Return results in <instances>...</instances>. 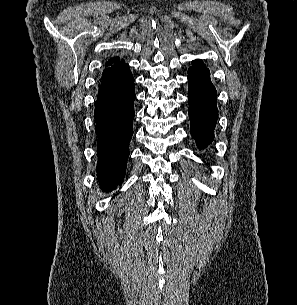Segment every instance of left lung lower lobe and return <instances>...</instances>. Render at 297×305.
<instances>
[{
	"instance_id": "left-lung-lower-lobe-1",
	"label": "left lung lower lobe",
	"mask_w": 297,
	"mask_h": 305,
	"mask_svg": "<svg viewBox=\"0 0 297 305\" xmlns=\"http://www.w3.org/2000/svg\"><path fill=\"white\" fill-rule=\"evenodd\" d=\"M188 100L190 133L199 148L213 141L218 118L216 90L210 79L209 69L203 64H194L188 70Z\"/></svg>"
}]
</instances>
